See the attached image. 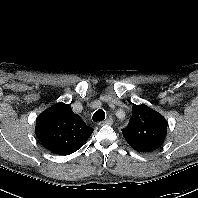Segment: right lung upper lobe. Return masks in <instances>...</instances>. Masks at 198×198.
I'll return each instance as SVG.
<instances>
[{
	"instance_id": "1",
	"label": "right lung upper lobe",
	"mask_w": 198,
	"mask_h": 198,
	"mask_svg": "<svg viewBox=\"0 0 198 198\" xmlns=\"http://www.w3.org/2000/svg\"><path fill=\"white\" fill-rule=\"evenodd\" d=\"M94 130L74 114L69 104L57 103L36 120L35 134L42 145L59 155H69L82 147Z\"/></svg>"
}]
</instances>
